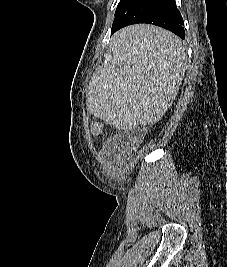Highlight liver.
<instances>
[{"label":"liver","mask_w":227,"mask_h":267,"mask_svg":"<svg viewBox=\"0 0 227 267\" xmlns=\"http://www.w3.org/2000/svg\"><path fill=\"white\" fill-rule=\"evenodd\" d=\"M111 49L112 63L92 78L87 110L118 130L161 120L186 70L181 39L160 27L138 24L118 31Z\"/></svg>","instance_id":"liver-1"}]
</instances>
